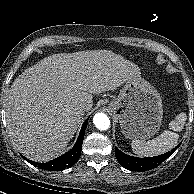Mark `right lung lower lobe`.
Listing matches in <instances>:
<instances>
[{
  "label": "right lung lower lobe",
  "instance_id": "obj_1",
  "mask_svg": "<svg viewBox=\"0 0 194 194\" xmlns=\"http://www.w3.org/2000/svg\"><path fill=\"white\" fill-rule=\"evenodd\" d=\"M88 120H86L81 128V131L79 133V137L74 145V147L68 151L67 153L63 154L62 156L51 160L47 163H36L32 160H29L25 157H23L26 161H28L30 164L44 169L48 171H59V170H64L66 168H69L73 166L79 159L80 154H81V149H82V143H83V138L85 134V130L87 127Z\"/></svg>",
  "mask_w": 194,
  "mask_h": 194
}]
</instances>
